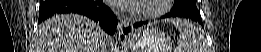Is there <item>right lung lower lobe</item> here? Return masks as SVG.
Listing matches in <instances>:
<instances>
[{"label": "right lung lower lobe", "mask_w": 261, "mask_h": 52, "mask_svg": "<svg viewBox=\"0 0 261 52\" xmlns=\"http://www.w3.org/2000/svg\"><path fill=\"white\" fill-rule=\"evenodd\" d=\"M71 12L82 14L98 22L109 34L115 33L118 21L102 0H41L38 23L54 14Z\"/></svg>", "instance_id": "1"}]
</instances>
